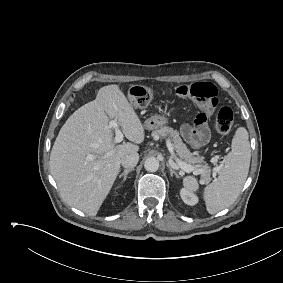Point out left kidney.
<instances>
[{
    "instance_id": "obj_1",
    "label": "left kidney",
    "mask_w": 283,
    "mask_h": 283,
    "mask_svg": "<svg viewBox=\"0 0 283 283\" xmlns=\"http://www.w3.org/2000/svg\"><path fill=\"white\" fill-rule=\"evenodd\" d=\"M180 196L183 202L187 205L193 206L198 203V197L190 190L182 189Z\"/></svg>"
}]
</instances>
